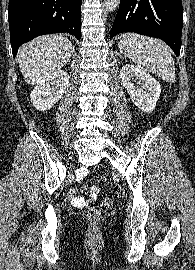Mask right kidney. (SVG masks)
Returning a JSON list of instances; mask_svg holds the SVG:
<instances>
[{"mask_svg": "<svg viewBox=\"0 0 195 270\" xmlns=\"http://www.w3.org/2000/svg\"><path fill=\"white\" fill-rule=\"evenodd\" d=\"M68 79V74L62 70L41 79L30 94L33 106L40 111L52 108L63 96Z\"/></svg>", "mask_w": 195, "mask_h": 270, "instance_id": "obj_1", "label": "right kidney"}]
</instances>
